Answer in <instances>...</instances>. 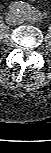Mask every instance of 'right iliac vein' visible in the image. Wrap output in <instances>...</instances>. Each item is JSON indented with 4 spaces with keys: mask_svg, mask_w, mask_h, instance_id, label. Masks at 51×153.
<instances>
[{
    "mask_svg": "<svg viewBox=\"0 0 51 153\" xmlns=\"http://www.w3.org/2000/svg\"><path fill=\"white\" fill-rule=\"evenodd\" d=\"M6 20H7L8 23L12 22L14 20V15L13 14H9L7 16V19Z\"/></svg>",
    "mask_w": 51,
    "mask_h": 153,
    "instance_id": "1",
    "label": "right iliac vein"
}]
</instances>
